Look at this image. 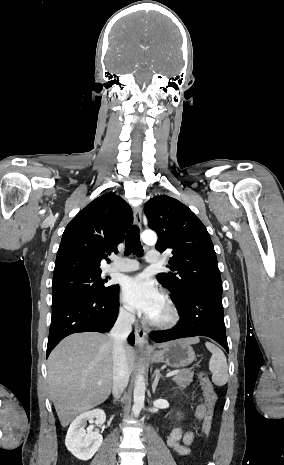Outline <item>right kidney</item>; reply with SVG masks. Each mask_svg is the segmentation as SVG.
<instances>
[{
  "label": "right kidney",
  "mask_w": 284,
  "mask_h": 465,
  "mask_svg": "<svg viewBox=\"0 0 284 465\" xmlns=\"http://www.w3.org/2000/svg\"><path fill=\"white\" fill-rule=\"evenodd\" d=\"M90 419H96L94 423L100 427L106 421V415L102 409H94V411H88V413H82L79 417L74 419L71 423L66 439L65 445L77 459L81 461H89L98 451L100 445H102L103 437L99 433V429H95V433H86L84 427L86 421Z\"/></svg>",
  "instance_id": "ca27d5eb"
}]
</instances>
